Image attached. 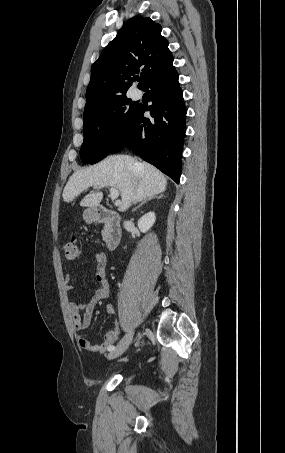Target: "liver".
<instances>
[{
    "label": "liver",
    "instance_id": "6515ba94",
    "mask_svg": "<svg viewBox=\"0 0 285 453\" xmlns=\"http://www.w3.org/2000/svg\"><path fill=\"white\" fill-rule=\"evenodd\" d=\"M136 163H139L136 166ZM164 174L146 162H138L128 155L109 156L100 163L76 171L69 178L64 190L63 200L72 202L88 187L94 189L114 187L121 193L119 211L123 212L136 203L166 190ZM103 198L102 192L92 191L80 202L82 207H96Z\"/></svg>",
    "mask_w": 285,
    "mask_h": 453
}]
</instances>
